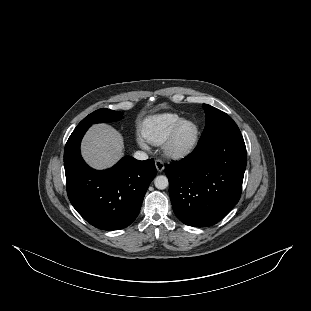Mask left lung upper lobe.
I'll list each match as a JSON object with an SVG mask.
<instances>
[{
    "label": "left lung upper lobe",
    "instance_id": "left-lung-upper-lobe-1",
    "mask_svg": "<svg viewBox=\"0 0 311 311\" xmlns=\"http://www.w3.org/2000/svg\"><path fill=\"white\" fill-rule=\"evenodd\" d=\"M206 124L199 141H204L214 135L227 131H240L236 123L223 111L204 104Z\"/></svg>",
    "mask_w": 311,
    "mask_h": 311
}]
</instances>
